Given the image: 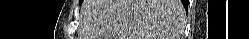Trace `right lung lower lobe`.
<instances>
[{
	"label": "right lung lower lobe",
	"instance_id": "obj_1",
	"mask_svg": "<svg viewBox=\"0 0 249 39\" xmlns=\"http://www.w3.org/2000/svg\"><path fill=\"white\" fill-rule=\"evenodd\" d=\"M183 4H184V6H185V9H188V2L183 1Z\"/></svg>",
	"mask_w": 249,
	"mask_h": 39
}]
</instances>
